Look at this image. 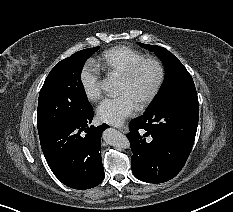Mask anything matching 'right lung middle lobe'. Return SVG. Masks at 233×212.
<instances>
[{"instance_id": "right-lung-middle-lobe-1", "label": "right lung middle lobe", "mask_w": 233, "mask_h": 212, "mask_svg": "<svg viewBox=\"0 0 233 212\" xmlns=\"http://www.w3.org/2000/svg\"><path fill=\"white\" fill-rule=\"evenodd\" d=\"M88 48L60 61L48 74L39 94V136L71 123L92 111L81 82L86 60L98 49Z\"/></svg>"}]
</instances>
